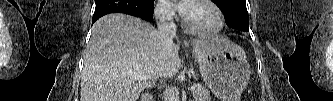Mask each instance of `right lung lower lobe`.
Segmentation results:
<instances>
[{"label":"right lung lower lobe","instance_id":"obj_1","mask_svg":"<svg viewBox=\"0 0 333 101\" xmlns=\"http://www.w3.org/2000/svg\"><path fill=\"white\" fill-rule=\"evenodd\" d=\"M95 3L92 23L109 13L129 14L147 21L153 18L154 3L149 0H95Z\"/></svg>","mask_w":333,"mask_h":101}]
</instances>
